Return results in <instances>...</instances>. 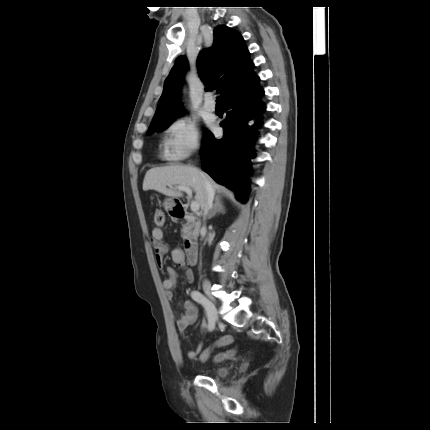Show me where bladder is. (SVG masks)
<instances>
[{"label": "bladder", "mask_w": 430, "mask_h": 430, "mask_svg": "<svg viewBox=\"0 0 430 430\" xmlns=\"http://www.w3.org/2000/svg\"><path fill=\"white\" fill-rule=\"evenodd\" d=\"M229 373L228 367H218L213 370L207 371V374L214 377H225Z\"/></svg>", "instance_id": "obj_1"}]
</instances>
